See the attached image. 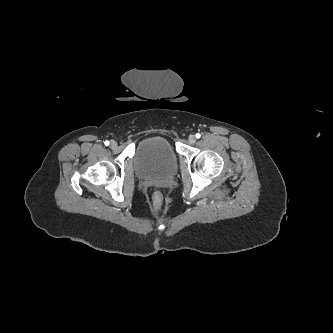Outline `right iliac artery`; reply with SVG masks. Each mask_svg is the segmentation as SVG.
<instances>
[{
	"label": "right iliac artery",
	"mask_w": 333,
	"mask_h": 333,
	"mask_svg": "<svg viewBox=\"0 0 333 333\" xmlns=\"http://www.w3.org/2000/svg\"><path fill=\"white\" fill-rule=\"evenodd\" d=\"M104 144H105L106 146H108V145H109V141H105Z\"/></svg>",
	"instance_id": "right-iliac-artery-1"
}]
</instances>
